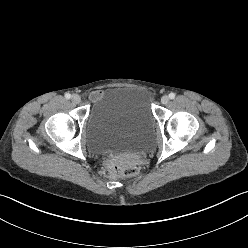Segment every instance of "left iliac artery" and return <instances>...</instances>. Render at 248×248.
Segmentation results:
<instances>
[{"label": "left iliac artery", "instance_id": "1", "mask_svg": "<svg viewBox=\"0 0 248 248\" xmlns=\"http://www.w3.org/2000/svg\"><path fill=\"white\" fill-rule=\"evenodd\" d=\"M169 98H170V99H174V98H175V93L171 92V93L169 94Z\"/></svg>", "mask_w": 248, "mask_h": 248}]
</instances>
